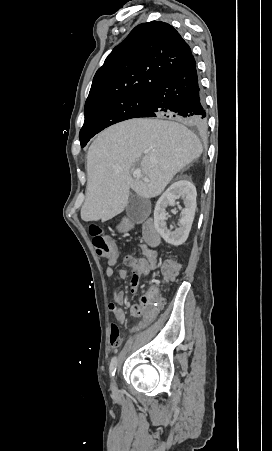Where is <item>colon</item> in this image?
I'll use <instances>...</instances> for the list:
<instances>
[{
    "label": "colon",
    "mask_w": 272,
    "mask_h": 451,
    "mask_svg": "<svg viewBox=\"0 0 272 451\" xmlns=\"http://www.w3.org/2000/svg\"><path fill=\"white\" fill-rule=\"evenodd\" d=\"M92 236L93 246L100 256H114L116 254V250L118 248L117 241H108L102 235V231L100 228H92L90 230ZM125 263L129 266H135L136 271H149L150 265L149 262H136L132 256L125 257ZM107 265L109 267H114L116 265V260L114 258H109L107 260ZM164 276L166 278H171L173 276L174 264L172 262H166L164 264ZM167 296L163 294V291L160 288H157L154 292L150 294H143L142 302L139 304H135L132 307V312L134 314H141L144 303H152V305H158L159 303H166ZM109 339L110 344L113 347H119L121 345V336L120 329L116 323H111L109 327Z\"/></svg>",
    "instance_id": "1"
}]
</instances>
